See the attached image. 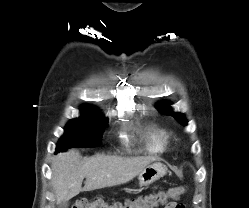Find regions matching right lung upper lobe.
I'll list each match as a JSON object with an SVG mask.
<instances>
[{"instance_id": "right-lung-upper-lobe-1", "label": "right lung upper lobe", "mask_w": 249, "mask_h": 208, "mask_svg": "<svg viewBox=\"0 0 249 208\" xmlns=\"http://www.w3.org/2000/svg\"><path fill=\"white\" fill-rule=\"evenodd\" d=\"M82 110H88V111H93V112H95L94 110H93V107L92 106H89V105H84V106H82Z\"/></svg>"}]
</instances>
